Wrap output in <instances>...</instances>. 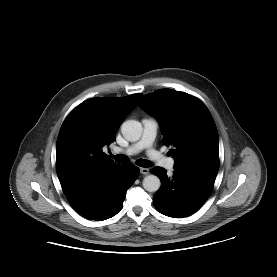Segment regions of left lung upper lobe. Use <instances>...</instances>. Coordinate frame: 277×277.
Wrapping results in <instances>:
<instances>
[{
	"instance_id": "1",
	"label": "left lung upper lobe",
	"mask_w": 277,
	"mask_h": 277,
	"mask_svg": "<svg viewBox=\"0 0 277 277\" xmlns=\"http://www.w3.org/2000/svg\"><path fill=\"white\" fill-rule=\"evenodd\" d=\"M139 106L157 117L164 143L173 146L170 154L175 159V170L218 172V132L201 100L184 92L162 89L145 95Z\"/></svg>"
}]
</instances>
